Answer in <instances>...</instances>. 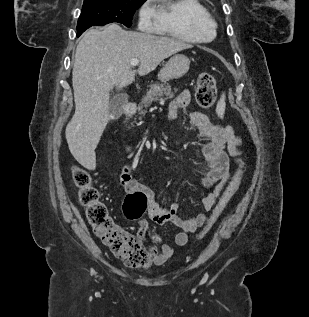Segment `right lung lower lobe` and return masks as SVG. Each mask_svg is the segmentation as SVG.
Instances as JSON below:
<instances>
[{"label":"right lung lower lobe","instance_id":"obj_1","mask_svg":"<svg viewBox=\"0 0 309 317\" xmlns=\"http://www.w3.org/2000/svg\"><path fill=\"white\" fill-rule=\"evenodd\" d=\"M85 31V30H84ZM84 31H78L77 32V37L80 36Z\"/></svg>","mask_w":309,"mask_h":317}]
</instances>
